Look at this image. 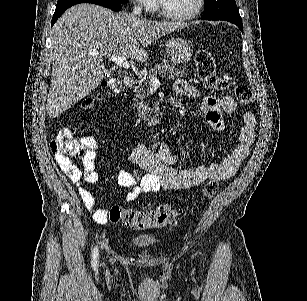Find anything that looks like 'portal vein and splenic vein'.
<instances>
[{
  "label": "portal vein and splenic vein",
  "instance_id": "1",
  "mask_svg": "<svg viewBox=\"0 0 307 301\" xmlns=\"http://www.w3.org/2000/svg\"><path fill=\"white\" fill-rule=\"evenodd\" d=\"M109 60H112V62H116L118 66H122V68H129L130 64L124 56V54H112V56H107ZM150 86H160V80L157 78V76H152L150 78Z\"/></svg>",
  "mask_w": 307,
  "mask_h": 301
}]
</instances>
